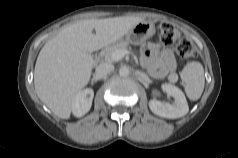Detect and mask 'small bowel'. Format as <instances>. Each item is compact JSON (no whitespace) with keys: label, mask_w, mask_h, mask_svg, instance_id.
<instances>
[{"label":"small bowel","mask_w":238,"mask_h":158,"mask_svg":"<svg viewBox=\"0 0 238 158\" xmlns=\"http://www.w3.org/2000/svg\"><path fill=\"white\" fill-rule=\"evenodd\" d=\"M141 61L149 73L158 79L165 78L176 70V61L172 51L160 50L153 43H147L142 47Z\"/></svg>","instance_id":"obj_1"}]
</instances>
